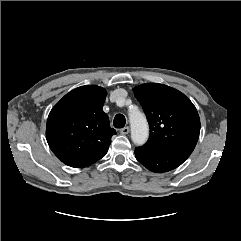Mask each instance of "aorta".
Listing matches in <instances>:
<instances>
[{
	"mask_svg": "<svg viewBox=\"0 0 241 241\" xmlns=\"http://www.w3.org/2000/svg\"><path fill=\"white\" fill-rule=\"evenodd\" d=\"M129 121L131 126V139L136 145H143L149 135V128L147 120L143 113L134 111L129 114Z\"/></svg>",
	"mask_w": 241,
	"mask_h": 241,
	"instance_id": "obj_1",
	"label": "aorta"
}]
</instances>
